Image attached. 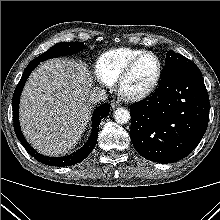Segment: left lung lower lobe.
Segmentation results:
<instances>
[{"label":"left lung lower lobe","instance_id":"left-lung-lower-lobe-1","mask_svg":"<svg viewBox=\"0 0 220 220\" xmlns=\"http://www.w3.org/2000/svg\"><path fill=\"white\" fill-rule=\"evenodd\" d=\"M131 141L151 161L173 163L189 155L206 132L209 97L192 61L166 65L157 90L131 105Z\"/></svg>","mask_w":220,"mask_h":220}]
</instances>
